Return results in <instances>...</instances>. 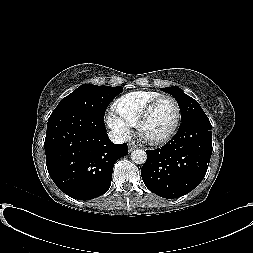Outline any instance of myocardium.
Returning <instances> with one entry per match:
<instances>
[{"mask_svg":"<svg viewBox=\"0 0 253 253\" xmlns=\"http://www.w3.org/2000/svg\"><path fill=\"white\" fill-rule=\"evenodd\" d=\"M163 100H170L173 102L175 109H176L175 122H174L171 130L165 136H163L161 138H157V139L148 138L143 134V127H144L146 121L151 116L155 107ZM180 121H181V108H180L178 101L171 95H161V96L155 98L154 100H152L146 106V108L143 110V112L141 113V115L138 118V121L136 123L137 134L141 140H143L144 142H146L149 145H152V146L164 145V144L168 143L174 137V135L176 134V132L179 128Z\"/></svg>","mask_w":253,"mask_h":253,"instance_id":"obj_1","label":"myocardium"}]
</instances>
